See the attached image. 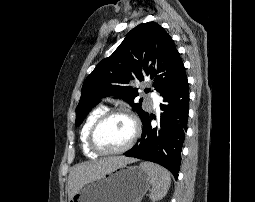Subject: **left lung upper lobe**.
Here are the masks:
<instances>
[{
	"instance_id": "5c2ea615",
	"label": "left lung upper lobe",
	"mask_w": 255,
	"mask_h": 202,
	"mask_svg": "<svg viewBox=\"0 0 255 202\" xmlns=\"http://www.w3.org/2000/svg\"><path fill=\"white\" fill-rule=\"evenodd\" d=\"M184 73L182 59L167 32L155 22L142 23L132 29L113 54L100 61L86 78L76 108L75 125L82 123L101 98L111 95L128 102L143 120L148 113L142 110L141 103L134 102L138 92L127 86L129 80L136 77L143 81L148 76L161 95Z\"/></svg>"
}]
</instances>
